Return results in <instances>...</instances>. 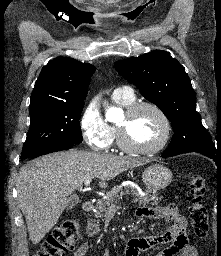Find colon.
<instances>
[{
	"label": "colon",
	"instance_id": "obj_1",
	"mask_svg": "<svg viewBox=\"0 0 221 256\" xmlns=\"http://www.w3.org/2000/svg\"><path fill=\"white\" fill-rule=\"evenodd\" d=\"M190 193V220L193 233L199 239L209 234L208 212L204 204L206 181L197 174L188 182ZM79 226L75 219L69 218L56 226L42 243L41 249L34 256H63L73 249L79 238Z\"/></svg>",
	"mask_w": 221,
	"mask_h": 256
}]
</instances>
